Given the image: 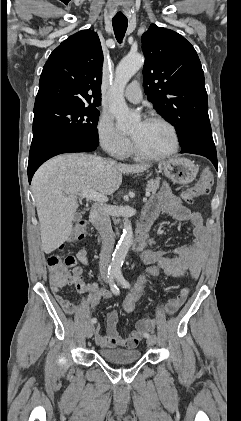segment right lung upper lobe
Segmentation results:
<instances>
[{
	"instance_id": "cb5924a9",
	"label": "right lung upper lobe",
	"mask_w": 241,
	"mask_h": 421,
	"mask_svg": "<svg viewBox=\"0 0 241 421\" xmlns=\"http://www.w3.org/2000/svg\"><path fill=\"white\" fill-rule=\"evenodd\" d=\"M102 65L103 52L94 31L82 30L70 36L44 65L34 108L53 104L100 105Z\"/></svg>"
}]
</instances>
